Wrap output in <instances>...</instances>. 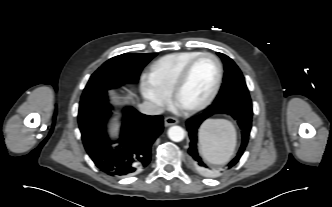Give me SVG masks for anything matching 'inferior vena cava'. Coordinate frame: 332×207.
<instances>
[{
  "label": "inferior vena cava",
  "instance_id": "inferior-vena-cava-1",
  "mask_svg": "<svg viewBox=\"0 0 332 207\" xmlns=\"http://www.w3.org/2000/svg\"><path fill=\"white\" fill-rule=\"evenodd\" d=\"M139 110L146 115H159L164 112V109L152 102L145 101L139 105Z\"/></svg>",
  "mask_w": 332,
  "mask_h": 207
}]
</instances>
